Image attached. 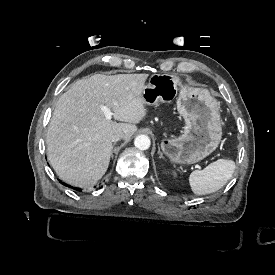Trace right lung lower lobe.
Listing matches in <instances>:
<instances>
[{
  "label": "right lung lower lobe",
  "instance_id": "obj_1",
  "mask_svg": "<svg viewBox=\"0 0 275 275\" xmlns=\"http://www.w3.org/2000/svg\"><path fill=\"white\" fill-rule=\"evenodd\" d=\"M64 185H67V184H64ZM74 189L77 190V191H81L80 189H78V188H76V187H74Z\"/></svg>",
  "mask_w": 275,
  "mask_h": 275
}]
</instances>
